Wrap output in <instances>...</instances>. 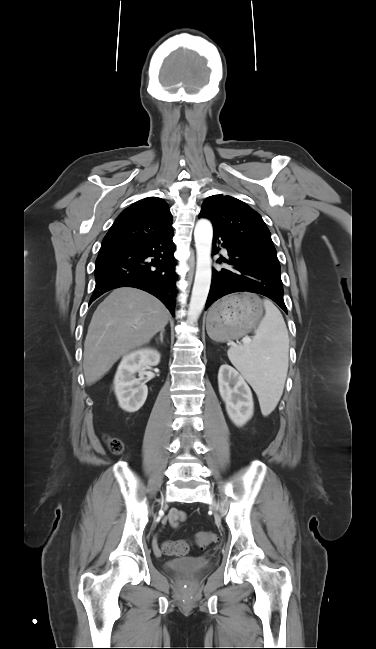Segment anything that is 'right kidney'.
Instances as JSON below:
<instances>
[{"instance_id":"ca27d5eb","label":"right kidney","mask_w":376,"mask_h":649,"mask_svg":"<svg viewBox=\"0 0 376 649\" xmlns=\"http://www.w3.org/2000/svg\"><path fill=\"white\" fill-rule=\"evenodd\" d=\"M159 362V352L151 348H142L123 357L114 378V392L123 410L135 412L143 406L148 394L142 382L146 369ZM137 373L139 378H136Z\"/></svg>"}]
</instances>
